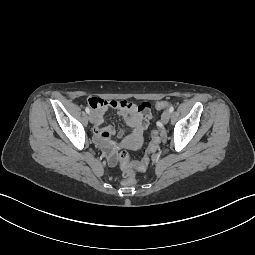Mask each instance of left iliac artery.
I'll return each mask as SVG.
<instances>
[{
    "mask_svg": "<svg viewBox=\"0 0 255 255\" xmlns=\"http://www.w3.org/2000/svg\"><path fill=\"white\" fill-rule=\"evenodd\" d=\"M169 111L172 113L174 111V106H170Z\"/></svg>",
    "mask_w": 255,
    "mask_h": 255,
    "instance_id": "left-iliac-artery-1",
    "label": "left iliac artery"
}]
</instances>
